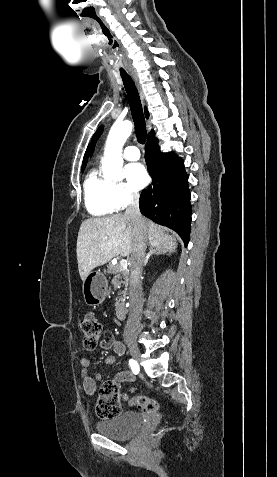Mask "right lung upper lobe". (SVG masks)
Listing matches in <instances>:
<instances>
[{
    "label": "right lung upper lobe",
    "instance_id": "1",
    "mask_svg": "<svg viewBox=\"0 0 277 477\" xmlns=\"http://www.w3.org/2000/svg\"><path fill=\"white\" fill-rule=\"evenodd\" d=\"M145 116L148 118L149 116V113L147 111V109L145 108ZM155 137V133L154 131H151L149 134H148V139H151V138H154ZM87 157H88V150L86 151L85 155H84V159H83V163H82V169H84V167L86 166V162H87Z\"/></svg>",
    "mask_w": 277,
    "mask_h": 477
}]
</instances>
